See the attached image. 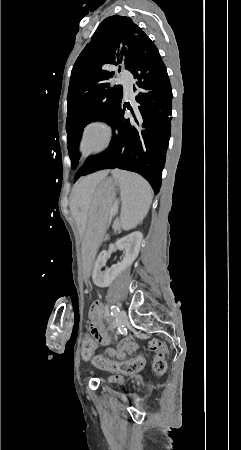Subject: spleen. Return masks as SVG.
Masks as SVG:
<instances>
[{
  "label": "spleen",
  "instance_id": "obj_1",
  "mask_svg": "<svg viewBox=\"0 0 241 450\" xmlns=\"http://www.w3.org/2000/svg\"><path fill=\"white\" fill-rule=\"evenodd\" d=\"M112 176L121 190V228L132 230L147 216L153 200V190L142 176L134 172L112 170Z\"/></svg>",
  "mask_w": 241,
  "mask_h": 450
}]
</instances>
